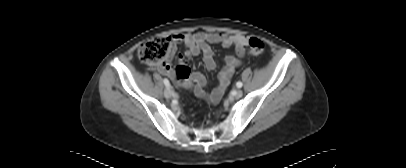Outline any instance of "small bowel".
<instances>
[{
	"label": "small bowel",
	"instance_id": "obj_1",
	"mask_svg": "<svg viewBox=\"0 0 406 168\" xmlns=\"http://www.w3.org/2000/svg\"><path fill=\"white\" fill-rule=\"evenodd\" d=\"M172 40L174 43H181L186 47L184 54L178 55L177 58L179 66L186 67L187 73L183 76H178L170 63L176 51L175 44H173L168 61L154 65L153 69L160 74L168 75L179 85L190 86L194 83L193 92L196 96L203 98L210 103L218 102L228 88L235 69L241 64V57L244 54L243 46L247 43L248 38L243 35L197 32L177 34L173 36ZM212 44H220L224 48L234 47L237 56L232 54L225 56L224 66L218 75V84L213 91L208 94L205 91V77L200 73H190L187 59L202 54L205 67L209 70H214L217 63L214 58V52L211 48Z\"/></svg>",
	"mask_w": 406,
	"mask_h": 168
}]
</instances>
